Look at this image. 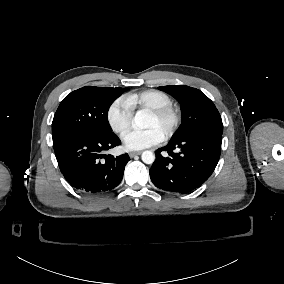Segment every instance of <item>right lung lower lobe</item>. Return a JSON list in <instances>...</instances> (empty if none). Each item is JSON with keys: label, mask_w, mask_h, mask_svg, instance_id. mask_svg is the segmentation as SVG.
Here are the masks:
<instances>
[{"label": "right lung lower lobe", "mask_w": 284, "mask_h": 284, "mask_svg": "<svg viewBox=\"0 0 284 284\" xmlns=\"http://www.w3.org/2000/svg\"><path fill=\"white\" fill-rule=\"evenodd\" d=\"M120 144L113 132L73 134L53 143V148L61 173L71 186L83 193L98 194L111 191L123 178L129 156L103 154Z\"/></svg>", "instance_id": "98d812e1"}]
</instances>
